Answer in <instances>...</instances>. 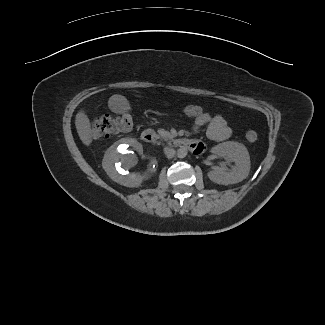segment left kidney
I'll return each instance as SVG.
<instances>
[{"label": "left kidney", "mask_w": 325, "mask_h": 325, "mask_svg": "<svg viewBox=\"0 0 325 325\" xmlns=\"http://www.w3.org/2000/svg\"><path fill=\"white\" fill-rule=\"evenodd\" d=\"M212 153L218 156H227L235 165L231 171L219 168L210 171L208 177L217 184L229 185L243 181L250 172V156L247 148L238 142L227 141L212 148Z\"/></svg>", "instance_id": "left-kidney-1"}]
</instances>
